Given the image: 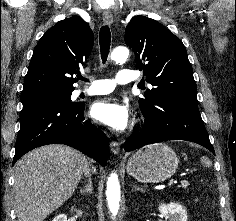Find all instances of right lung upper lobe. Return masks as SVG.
Listing matches in <instances>:
<instances>
[{"label":"right lung upper lobe","mask_w":236,"mask_h":221,"mask_svg":"<svg viewBox=\"0 0 236 221\" xmlns=\"http://www.w3.org/2000/svg\"><path fill=\"white\" fill-rule=\"evenodd\" d=\"M93 32L79 16L57 22L34 48L22 93L43 89L74 90L73 76L89 57Z\"/></svg>","instance_id":"1"}]
</instances>
